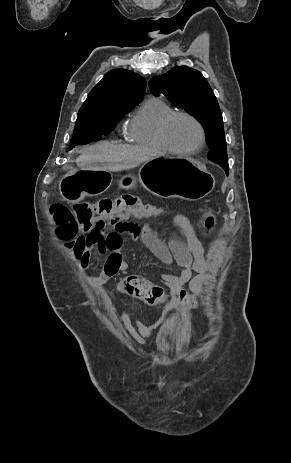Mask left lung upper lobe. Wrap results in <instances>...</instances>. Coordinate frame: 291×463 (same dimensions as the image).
Returning <instances> with one entry per match:
<instances>
[{"mask_svg": "<svg viewBox=\"0 0 291 463\" xmlns=\"http://www.w3.org/2000/svg\"><path fill=\"white\" fill-rule=\"evenodd\" d=\"M153 95L163 94L174 105L193 115L203 126L210 147L209 159L228 164L222 114L203 75L187 66L175 67L149 81Z\"/></svg>", "mask_w": 291, "mask_h": 463, "instance_id": "5c2ea615", "label": "left lung upper lobe"}]
</instances>
